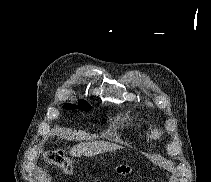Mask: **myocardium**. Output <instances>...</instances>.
I'll return each instance as SVG.
<instances>
[{"label":"myocardium","mask_w":211,"mask_h":182,"mask_svg":"<svg viewBox=\"0 0 211 182\" xmlns=\"http://www.w3.org/2000/svg\"><path fill=\"white\" fill-rule=\"evenodd\" d=\"M151 136L153 138H159L160 137V133L157 130H154L151 132Z\"/></svg>","instance_id":"f54148a6"}]
</instances>
